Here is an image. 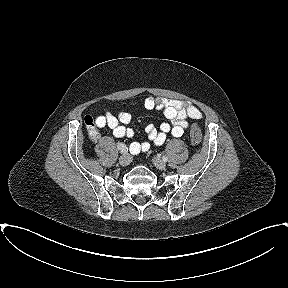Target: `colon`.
<instances>
[{
	"label": "colon",
	"mask_w": 288,
	"mask_h": 288,
	"mask_svg": "<svg viewBox=\"0 0 288 288\" xmlns=\"http://www.w3.org/2000/svg\"><path fill=\"white\" fill-rule=\"evenodd\" d=\"M84 122H85L87 129H88L89 136L92 139L97 138L98 132L95 128V124L93 122L92 117L86 116L84 118ZM190 140L194 146H198L201 143L202 133H201L200 128L197 125H193L190 129Z\"/></svg>",
	"instance_id": "obj_1"
}]
</instances>
